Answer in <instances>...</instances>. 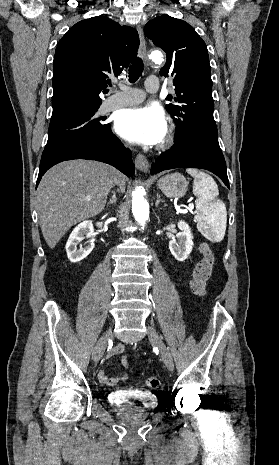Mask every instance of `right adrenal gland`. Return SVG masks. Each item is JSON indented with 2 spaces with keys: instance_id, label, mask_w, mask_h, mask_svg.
Instances as JSON below:
<instances>
[{
  "instance_id": "1",
  "label": "right adrenal gland",
  "mask_w": 279,
  "mask_h": 465,
  "mask_svg": "<svg viewBox=\"0 0 279 465\" xmlns=\"http://www.w3.org/2000/svg\"><path fill=\"white\" fill-rule=\"evenodd\" d=\"M115 203H116V193L113 192L112 198H111L110 201L107 203V206H110V205L115 204Z\"/></svg>"
}]
</instances>
